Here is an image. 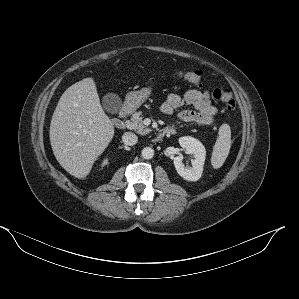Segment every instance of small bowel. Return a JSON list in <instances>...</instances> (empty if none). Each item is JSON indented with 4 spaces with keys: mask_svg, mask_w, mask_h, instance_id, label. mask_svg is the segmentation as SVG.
Returning <instances> with one entry per match:
<instances>
[{
    "mask_svg": "<svg viewBox=\"0 0 299 299\" xmlns=\"http://www.w3.org/2000/svg\"><path fill=\"white\" fill-rule=\"evenodd\" d=\"M185 106H191L193 109L180 111V120L205 126L215 125L217 109L212 105L208 91L191 89L183 96L171 93L162 103L161 111L165 115H172L177 109Z\"/></svg>",
    "mask_w": 299,
    "mask_h": 299,
    "instance_id": "small-bowel-1",
    "label": "small bowel"
}]
</instances>
